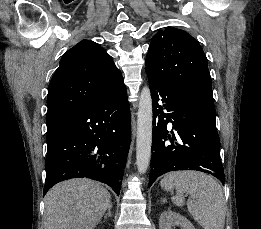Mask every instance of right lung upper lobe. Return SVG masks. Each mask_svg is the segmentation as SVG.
Instances as JSON below:
<instances>
[{
	"mask_svg": "<svg viewBox=\"0 0 261 229\" xmlns=\"http://www.w3.org/2000/svg\"><path fill=\"white\" fill-rule=\"evenodd\" d=\"M123 81L110 55L83 40L68 50L49 84L47 130L103 97Z\"/></svg>",
	"mask_w": 261,
	"mask_h": 229,
	"instance_id": "cb5924a9",
	"label": "right lung upper lobe"
}]
</instances>
